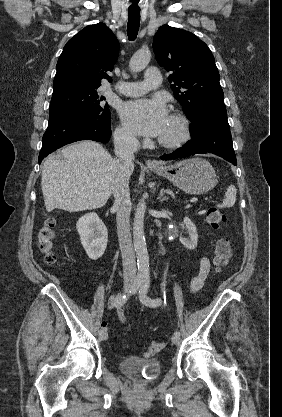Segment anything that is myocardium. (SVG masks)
I'll use <instances>...</instances> for the list:
<instances>
[{"instance_id":"f54148a6","label":"myocardium","mask_w":282,"mask_h":417,"mask_svg":"<svg viewBox=\"0 0 282 417\" xmlns=\"http://www.w3.org/2000/svg\"><path fill=\"white\" fill-rule=\"evenodd\" d=\"M169 118L176 123L177 134L170 139L159 137L158 142L164 147H178L184 144L190 137L189 122L181 114H171Z\"/></svg>"}]
</instances>
